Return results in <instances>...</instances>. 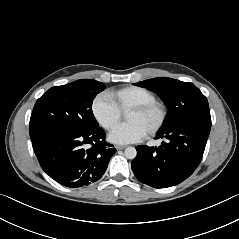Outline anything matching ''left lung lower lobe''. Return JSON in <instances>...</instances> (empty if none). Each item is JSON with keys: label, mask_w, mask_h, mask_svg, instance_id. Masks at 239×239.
<instances>
[{"label": "left lung lower lobe", "mask_w": 239, "mask_h": 239, "mask_svg": "<svg viewBox=\"0 0 239 239\" xmlns=\"http://www.w3.org/2000/svg\"><path fill=\"white\" fill-rule=\"evenodd\" d=\"M211 122L189 121L161 128L156 138L161 146H137L132 170L137 179L155 188H166L187 179L199 165L210 133Z\"/></svg>", "instance_id": "left-lung-lower-lobe-1"}]
</instances>
